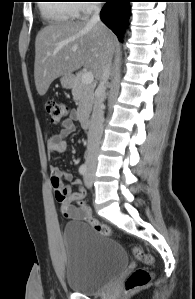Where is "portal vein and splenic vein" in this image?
Segmentation results:
<instances>
[{
    "label": "portal vein and splenic vein",
    "instance_id": "portal-vein-and-splenic-vein-1",
    "mask_svg": "<svg viewBox=\"0 0 195 299\" xmlns=\"http://www.w3.org/2000/svg\"><path fill=\"white\" fill-rule=\"evenodd\" d=\"M73 51H76V49H73ZM93 80H94V75L91 71H87L82 74L83 83L90 84L93 82Z\"/></svg>",
    "mask_w": 195,
    "mask_h": 299
}]
</instances>
